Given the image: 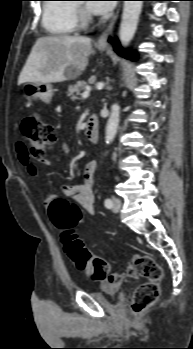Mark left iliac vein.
I'll return each instance as SVG.
<instances>
[{"label": "left iliac vein", "mask_w": 193, "mask_h": 349, "mask_svg": "<svg viewBox=\"0 0 193 349\" xmlns=\"http://www.w3.org/2000/svg\"><path fill=\"white\" fill-rule=\"evenodd\" d=\"M121 208V200L119 198H113V206H112V210L114 212H118Z\"/></svg>", "instance_id": "obj_1"}]
</instances>
